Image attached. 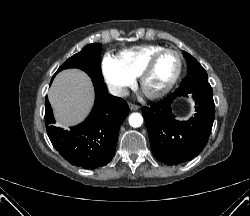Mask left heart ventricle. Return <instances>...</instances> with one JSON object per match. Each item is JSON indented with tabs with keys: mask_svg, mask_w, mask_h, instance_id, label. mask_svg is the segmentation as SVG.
Listing matches in <instances>:
<instances>
[{
	"mask_svg": "<svg viewBox=\"0 0 250 216\" xmlns=\"http://www.w3.org/2000/svg\"><path fill=\"white\" fill-rule=\"evenodd\" d=\"M178 68L175 54L161 55L144 81L143 90L146 93H157L164 89L172 80Z\"/></svg>",
	"mask_w": 250,
	"mask_h": 216,
	"instance_id": "1",
	"label": "left heart ventricle"
}]
</instances>
